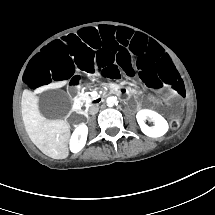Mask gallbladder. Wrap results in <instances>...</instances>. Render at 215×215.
I'll list each match as a JSON object with an SVG mask.
<instances>
[{
  "label": "gallbladder",
  "mask_w": 215,
  "mask_h": 215,
  "mask_svg": "<svg viewBox=\"0 0 215 215\" xmlns=\"http://www.w3.org/2000/svg\"><path fill=\"white\" fill-rule=\"evenodd\" d=\"M68 95L61 91H47L39 101L40 109L45 117L61 119L65 117L71 108Z\"/></svg>",
  "instance_id": "bac80fb5"
}]
</instances>
